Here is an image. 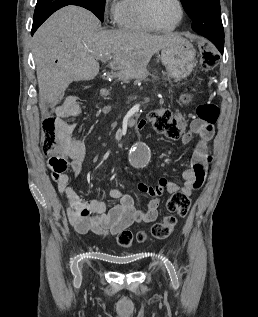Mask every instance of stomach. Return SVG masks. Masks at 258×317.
Instances as JSON below:
<instances>
[{"mask_svg": "<svg viewBox=\"0 0 258 317\" xmlns=\"http://www.w3.org/2000/svg\"><path fill=\"white\" fill-rule=\"evenodd\" d=\"M160 58L172 78H185L196 66V50L187 38L162 48Z\"/></svg>", "mask_w": 258, "mask_h": 317, "instance_id": "obj_1", "label": "stomach"}]
</instances>
